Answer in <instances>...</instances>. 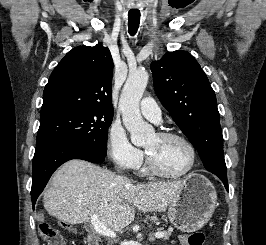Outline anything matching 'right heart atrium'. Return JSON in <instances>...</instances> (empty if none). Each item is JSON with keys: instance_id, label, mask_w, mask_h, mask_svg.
<instances>
[{"instance_id": "right-heart-atrium-1", "label": "right heart atrium", "mask_w": 266, "mask_h": 245, "mask_svg": "<svg viewBox=\"0 0 266 245\" xmlns=\"http://www.w3.org/2000/svg\"><path fill=\"white\" fill-rule=\"evenodd\" d=\"M106 150L115 163L127 169L137 168L143 158L142 152L130 142L122 127L116 124L108 129Z\"/></svg>"}]
</instances>
